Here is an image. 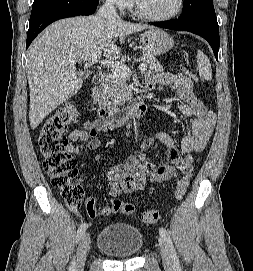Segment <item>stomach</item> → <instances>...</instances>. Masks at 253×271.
Segmentation results:
<instances>
[{"instance_id": "0dacf381", "label": "stomach", "mask_w": 253, "mask_h": 271, "mask_svg": "<svg viewBox=\"0 0 253 271\" xmlns=\"http://www.w3.org/2000/svg\"><path fill=\"white\" fill-rule=\"evenodd\" d=\"M145 51L153 56L168 52L174 45V40L161 29H150L140 35Z\"/></svg>"}]
</instances>
